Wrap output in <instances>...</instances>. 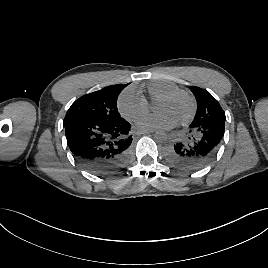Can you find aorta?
<instances>
[{
  "label": "aorta",
  "instance_id": "aorta-1",
  "mask_svg": "<svg viewBox=\"0 0 268 268\" xmlns=\"http://www.w3.org/2000/svg\"><path fill=\"white\" fill-rule=\"evenodd\" d=\"M154 138L157 142L162 143L166 140L167 135L164 131L159 130L155 133Z\"/></svg>",
  "mask_w": 268,
  "mask_h": 268
}]
</instances>
